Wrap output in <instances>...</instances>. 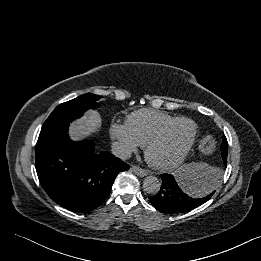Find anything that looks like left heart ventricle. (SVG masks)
Instances as JSON below:
<instances>
[{
	"mask_svg": "<svg viewBox=\"0 0 261 261\" xmlns=\"http://www.w3.org/2000/svg\"><path fill=\"white\" fill-rule=\"evenodd\" d=\"M193 127L183 121L172 127L164 138L152 149V157L159 162H167L176 158L187 145Z\"/></svg>",
	"mask_w": 261,
	"mask_h": 261,
	"instance_id": "b2bd125f",
	"label": "left heart ventricle"
}]
</instances>
